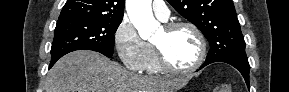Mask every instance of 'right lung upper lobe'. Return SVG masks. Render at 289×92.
<instances>
[{
	"label": "right lung upper lobe",
	"mask_w": 289,
	"mask_h": 92,
	"mask_svg": "<svg viewBox=\"0 0 289 92\" xmlns=\"http://www.w3.org/2000/svg\"><path fill=\"white\" fill-rule=\"evenodd\" d=\"M124 0H67L59 19L122 20Z\"/></svg>",
	"instance_id": "cb5924a9"
}]
</instances>
